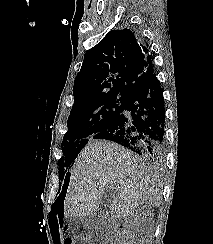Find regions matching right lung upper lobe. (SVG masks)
<instances>
[{
	"instance_id": "obj_1",
	"label": "right lung upper lobe",
	"mask_w": 213,
	"mask_h": 244,
	"mask_svg": "<svg viewBox=\"0 0 213 244\" xmlns=\"http://www.w3.org/2000/svg\"><path fill=\"white\" fill-rule=\"evenodd\" d=\"M153 74L142 38L127 28L112 30L85 53L74 82L72 109L103 96L130 98Z\"/></svg>"
}]
</instances>
